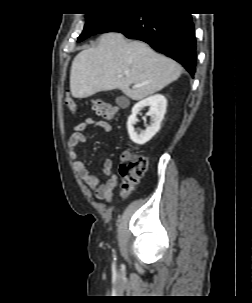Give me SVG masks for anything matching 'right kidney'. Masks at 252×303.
I'll use <instances>...</instances> for the list:
<instances>
[{
  "label": "right kidney",
  "instance_id": "1",
  "mask_svg": "<svg viewBox=\"0 0 252 303\" xmlns=\"http://www.w3.org/2000/svg\"><path fill=\"white\" fill-rule=\"evenodd\" d=\"M150 107L148 116H151L152 123L150 126H147L146 129L138 134L134 129V124L137 121V114L144 108ZM167 100L161 94H156L150 96L137 104H135L132 108V114L129 116L127 121V128L130 139L139 145H143L147 143L152 137L160 130L161 122L166 113Z\"/></svg>",
  "mask_w": 252,
  "mask_h": 303
}]
</instances>
